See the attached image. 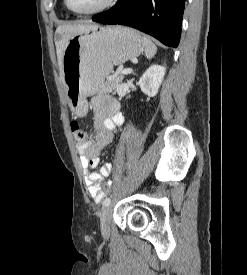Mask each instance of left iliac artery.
<instances>
[{"instance_id":"1","label":"left iliac artery","mask_w":247,"mask_h":275,"mask_svg":"<svg viewBox=\"0 0 247 275\" xmlns=\"http://www.w3.org/2000/svg\"><path fill=\"white\" fill-rule=\"evenodd\" d=\"M110 203H111V198L108 197V198H106V199L103 201V206L107 207V206L110 205Z\"/></svg>"}]
</instances>
